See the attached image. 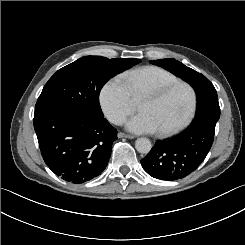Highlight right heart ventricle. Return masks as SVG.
Instances as JSON below:
<instances>
[{
  "label": "right heart ventricle",
  "instance_id": "right-heart-ventricle-1",
  "mask_svg": "<svg viewBox=\"0 0 245 245\" xmlns=\"http://www.w3.org/2000/svg\"><path fill=\"white\" fill-rule=\"evenodd\" d=\"M119 78L127 85L133 99H138L141 92L151 84L166 86L179 82L171 72L157 66H142L123 72Z\"/></svg>",
  "mask_w": 245,
  "mask_h": 245
}]
</instances>
